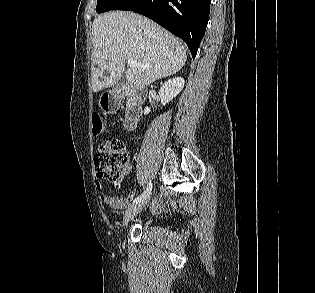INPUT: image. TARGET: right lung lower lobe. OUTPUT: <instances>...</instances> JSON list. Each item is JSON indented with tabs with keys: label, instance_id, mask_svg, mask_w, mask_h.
<instances>
[{
	"label": "right lung lower lobe",
	"instance_id": "obj_1",
	"mask_svg": "<svg viewBox=\"0 0 315 293\" xmlns=\"http://www.w3.org/2000/svg\"><path fill=\"white\" fill-rule=\"evenodd\" d=\"M211 0H119L111 10L145 15L183 39L195 58L209 19Z\"/></svg>",
	"mask_w": 315,
	"mask_h": 293
}]
</instances>
